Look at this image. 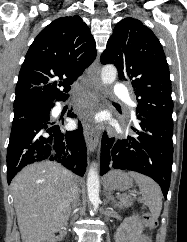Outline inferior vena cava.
<instances>
[{"mask_svg":"<svg viewBox=\"0 0 187 242\" xmlns=\"http://www.w3.org/2000/svg\"><path fill=\"white\" fill-rule=\"evenodd\" d=\"M71 203L73 204V208L79 203V188L76 183L73 184L71 189Z\"/></svg>","mask_w":187,"mask_h":242,"instance_id":"602c4592","label":"inferior vena cava"}]
</instances>
